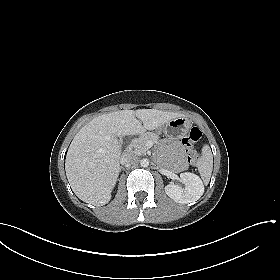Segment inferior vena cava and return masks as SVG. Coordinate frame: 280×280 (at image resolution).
Returning <instances> with one entry per match:
<instances>
[{
	"mask_svg": "<svg viewBox=\"0 0 280 280\" xmlns=\"http://www.w3.org/2000/svg\"><path fill=\"white\" fill-rule=\"evenodd\" d=\"M138 156L133 153H125L120 158V163L122 165H133L138 163Z\"/></svg>",
	"mask_w": 280,
	"mask_h": 280,
	"instance_id": "602c4592",
	"label": "inferior vena cava"
}]
</instances>
